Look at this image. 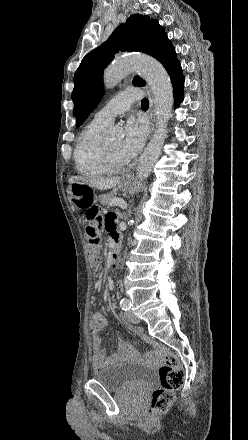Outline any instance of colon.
<instances>
[{
	"label": "colon",
	"instance_id": "colon-1",
	"mask_svg": "<svg viewBox=\"0 0 248 440\" xmlns=\"http://www.w3.org/2000/svg\"><path fill=\"white\" fill-rule=\"evenodd\" d=\"M84 219L88 223L86 238L92 246H96L99 243V229L102 224L98 208H89L84 214ZM90 260L93 265L98 263V254L94 248L90 251ZM140 338L164 357V362L159 368L160 387L153 392L148 410L152 415L164 414L171 407L175 392L183 384L184 372L177 356L169 348L143 334H140Z\"/></svg>",
	"mask_w": 248,
	"mask_h": 440
}]
</instances>
